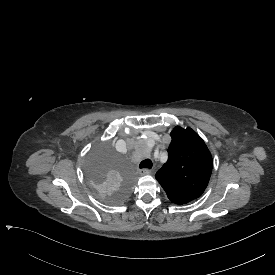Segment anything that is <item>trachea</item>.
<instances>
[{"mask_svg": "<svg viewBox=\"0 0 275 275\" xmlns=\"http://www.w3.org/2000/svg\"><path fill=\"white\" fill-rule=\"evenodd\" d=\"M153 166V163L150 159H145L139 164V168H148L151 169Z\"/></svg>", "mask_w": 275, "mask_h": 275, "instance_id": "3493384b", "label": "trachea"}]
</instances>
